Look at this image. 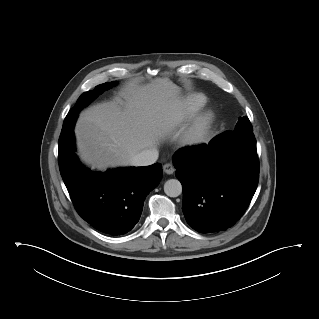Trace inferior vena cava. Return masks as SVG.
Wrapping results in <instances>:
<instances>
[{
    "mask_svg": "<svg viewBox=\"0 0 319 319\" xmlns=\"http://www.w3.org/2000/svg\"><path fill=\"white\" fill-rule=\"evenodd\" d=\"M157 149H147L138 154H136L131 160V166H148L154 164L158 159Z\"/></svg>",
    "mask_w": 319,
    "mask_h": 319,
    "instance_id": "1",
    "label": "inferior vena cava"
}]
</instances>
